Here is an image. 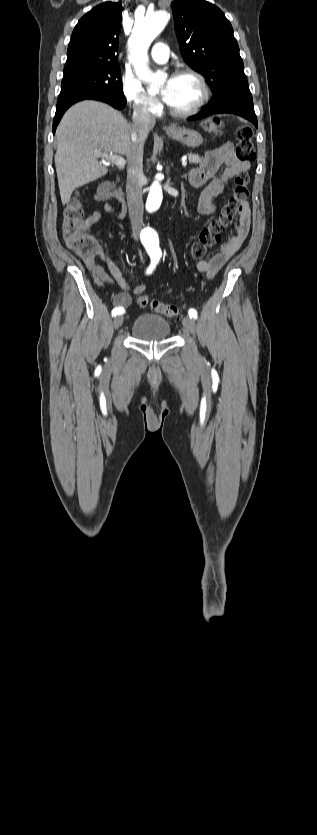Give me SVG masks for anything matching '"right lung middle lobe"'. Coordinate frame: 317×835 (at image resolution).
I'll list each match as a JSON object with an SVG mask.
<instances>
[{
	"mask_svg": "<svg viewBox=\"0 0 317 835\" xmlns=\"http://www.w3.org/2000/svg\"><path fill=\"white\" fill-rule=\"evenodd\" d=\"M120 76L118 64L83 62L66 64L57 104L100 92L124 96Z\"/></svg>",
	"mask_w": 317,
	"mask_h": 835,
	"instance_id": "obj_1",
	"label": "right lung middle lobe"
}]
</instances>
